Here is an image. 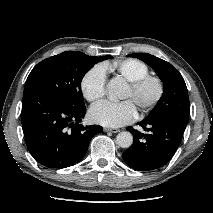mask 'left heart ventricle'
<instances>
[{
    "mask_svg": "<svg viewBox=\"0 0 213 213\" xmlns=\"http://www.w3.org/2000/svg\"><path fill=\"white\" fill-rule=\"evenodd\" d=\"M154 93L153 86L149 85L145 87L140 93L134 94L131 89L128 87L124 99L131 100L137 107L146 100H148Z\"/></svg>",
    "mask_w": 213,
    "mask_h": 213,
    "instance_id": "left-heart-ventricle-1",
    "label": "left heart ventricle"
}]
</instances>
